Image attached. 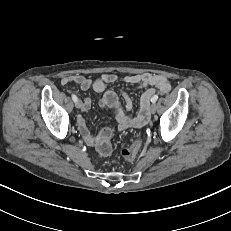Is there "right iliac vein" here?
I'll return each instance as SVG.
<instances>
[{
    "mask_svg": "<svg viewBox=\"0 0 231 231\" xmlns=\"http://www.w3.org/2000/svg\"><path fill=\"white\" fill-rule=\"evenodd\" d=\"M75 106H76V108L80 109V108L82 107V102H81V100H77V101L75 102Z\"/></svg>",
    "mask_w": 231,
    "mask_h": 231,
    "instance_id": "right-iliac-vein-1",
    "label": "right iliac vein"
}]
</instances>
